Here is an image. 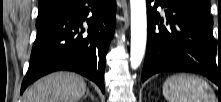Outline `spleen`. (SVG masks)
Masks as SVG:
<instances>
[{"label": "spleen", "mask_w": 221, "mask_h": 102, "mask_svg": "<svg viewBox=\"0 0 221 102\" xmlns=\"http://www.w3.org/2000/svg\"><path fill=\"white\" fill-rule=\"evenodd\" d=\"M163 95L168 102H214L215 95L206 81L190 74H174L166 79Z\"/></svg>", "instance_id": "1"}]
</instances>
